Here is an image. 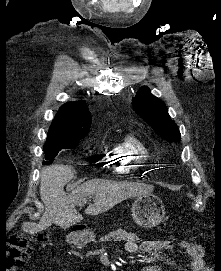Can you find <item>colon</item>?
Returning <instances> with one entry per match:
<instances>
[{
	"label": "colon",
	"mask_w": 221,
	"mask_h": 271,
	"mask_svg": "<svg viewBox=\"0 0 221 271\" xmlns=\"http://www.w3.org/2000/svg\"><path fill=\"white\" fill-rule=\"evenodd\" d=\"M52 237L49 231L40 232L37 235L38 240L45 241ZM34 245L26 231L13 234L8 241V250L3 260L7 271H20L24 262L32 255Z\"/></svg>",
	"instance_id": "obj_1"
}]
</instances>
